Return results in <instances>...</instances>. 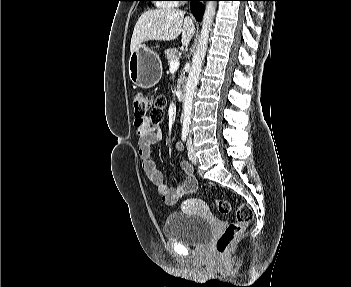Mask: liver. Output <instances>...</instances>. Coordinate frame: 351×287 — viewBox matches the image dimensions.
I'll list each match as a JSON object with an SVG mask.
<instances>
[{"mask_svg":"<svg viewBox=\"0 0 351 287\" xmlns=\"http://www.w3.org/2000/svg\"><path fill=\"white\" fill-rule=\"evenodd\" d=\"M179 9L161 8L144 12L138 19L131 38L130 51L135 52L146 41H172L180 34L187 46L195 33L191 17Z\"/></svg>","mask_w":351,"mask_h":287,"instance_id":"1","label":"liver"}]
</instances>
